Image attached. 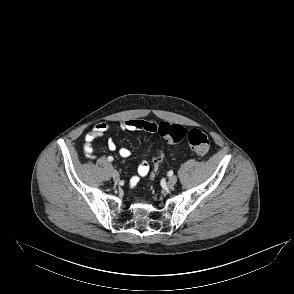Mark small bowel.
Returning <instances> with one entry per match:
<instances>
[{"label":"small bowel","mask_w":294,"mask_h":294,"mask_svg":"<svg viewBox=\"0 0 294 294\" xmlns=\"http://www.w3.org/2000/svg\"><path fill=\"white\" fill-rule=\"evenodd\" d=\"M148 122L143 120H125L120 123V128L126 131H135V130H145V126ZM109 129V125L107 123L101 122L96 124L91 131H89L85 136V142L83 146L84 154L88 158L94 157V149H93V142L97 139L102 137ZM107 146L109 150L116 149V143L112 138H109L107 141ZM119 154L123 158H127L130 156L131 152L128 148L122 147L119 150ZM150 171V165L147 161L142 160L138 166V176H133L130 179V186H135L139 182V177L146 176Z\"/></svg>","instance_id":"obj_1"}]
</instances>
